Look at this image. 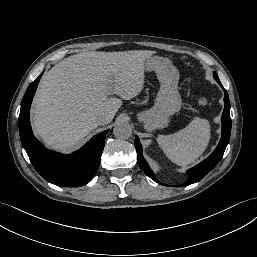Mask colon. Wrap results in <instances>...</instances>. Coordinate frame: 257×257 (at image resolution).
<instances>
[{
    "label": "colon",
    "instance_id": "colon-1",
    "mask_svg": "<svg viewBox=\"0 0 257 257\" xmlns=\"http://www.w3.org/2000/svg\"><path fill=\"white\" fill-rule=\"evenodd\" d=\"M198 104L200 107H205L208 104V99L205 96H202L199 98Z\"/></svg>",
    "mask_w": 257,
    "mask_h": 257
}]
</instances>
